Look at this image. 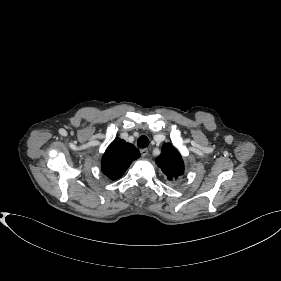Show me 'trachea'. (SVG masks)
I'll list each match as a JSON object with an SVG mask.
<instances>
[{"instance_id":"obj_1","label":"trachea","mask_w":281,"mask_h":281,"mask_svg":"<svg viewBox=\"0 0 281 281\" xmlns=\"http://www.w3.org/2000/svg\"><path fill=\"white\" fill-rule=\"evenodd\" d=\"M137 144L139 148H146L149 145V139L145 135H141L138 140Z\"/></svg>"}]
</instances>
